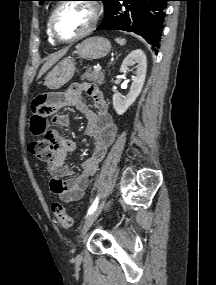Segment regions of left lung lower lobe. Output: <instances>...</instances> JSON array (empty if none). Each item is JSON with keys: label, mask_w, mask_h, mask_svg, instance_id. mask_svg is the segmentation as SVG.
Returning <instances> with one entry per match:
<instances>
[{"label": "left lung lower lobe", "mask_w": 216, "mask_h": 285, "mask_svg": "<svg viewBox=\"0 0 216 285\" xmlns=\"http://www.w3.org/2000/svg\"><path fill=\"white\" fill-rule=\"evenodd\" d=\"M167 1L169 0H112L96 30L134 32L158 48Z\"/></svg>", "instance_id": "0a47b994"}]
</instances>
